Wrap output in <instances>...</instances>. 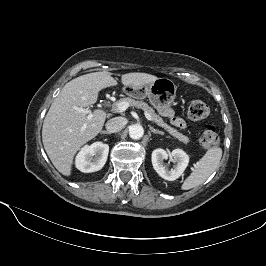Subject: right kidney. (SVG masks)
<instances>
[{"label": "right kidney", "instance_id": "right-kidney-1", "mask_svg": "<svg viewBox=\"0 0 266 266\" xmlns=\"http://www.w3.org/2000/svg\"><path fill=\"white\" fill-rule=\"evenodd\" d=\"M108 153V144L95 142L90 146L86 145L76 156V168L84 173L98 171L105 165Z\"/></svg>", "mask_w": 266, "mask_h": 266}]
</instances>
